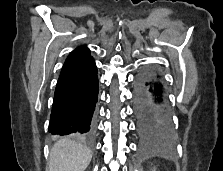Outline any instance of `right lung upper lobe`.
<instances>
[{"mask_svg": "<svg viewBox=\"0 0 223 171\" xmlns=\"http://www.w3.org/2000/svg\"><path fill=\"white\" fill-rule=\"evenodd\" d=\"M90 59H92V57L90 56L89 49L86 46H80L68 55L63 65L62 71L69 69L75 65L84 63Z\"/></svg>", "mask_w": 223, "mask_h": 171, "instance_id": "right-lung-upper-lobe-1", "label": "right lung upper lobe"}]
</instances>
